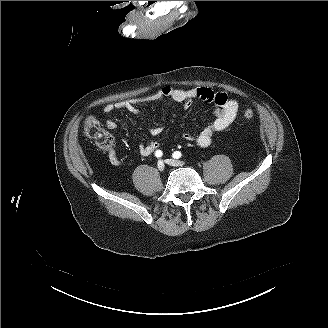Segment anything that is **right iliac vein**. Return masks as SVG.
<instances>
[{
  "mask_svg": "<svg viewBox=\"0 0 328 328\" xmlns=\"http://www.w3.org/2000/svg\"><path fill=\"white\" fill-rule=\"evenodd\" d=\"M157 166L159 171H163L165 169V165L163 161H158Z\"/></svg>",
  "mask_w": 328,
  "mask_h": 328,
  "instance_id": "right-iliac-vein-1",
  "label": "right iliac vein"
}]
</instances>
